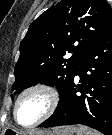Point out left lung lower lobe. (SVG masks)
Wrapping results in <instances>:
<instances>
[{"label": "left lung lower lobe", "mask_w": 112, "mask_h": 135, "mask_svg": "<svg viewBox=\"0 0 112 135\" xmlns=\"http://www.w3.org/2000/svg\"><path fill=\"white\" fill-rule=\"evenodd\" d=\"M72 124L112 135V24L84 55L55 112L39 127Z\"/></svg>", "instance_id": "0a47b994"}]
</instances>
